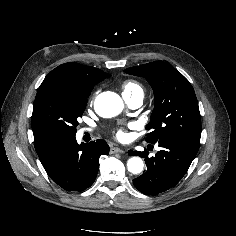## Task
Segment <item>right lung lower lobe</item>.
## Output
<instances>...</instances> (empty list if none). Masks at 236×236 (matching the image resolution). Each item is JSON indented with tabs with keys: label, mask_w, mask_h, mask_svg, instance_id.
Segmentation results:
<instances>
[{
	"label": "right lung lower lobe",
	"mask_w": 236,
	"mask_h": 236,
	"mask_svg": "<svg viewBox=\"0 0 236 236\" xmlns=\"http://www.w3.org/2000/svg\"><path fill=\"white\" fill-rule=\"evenodd\" d=\"M35 150L49 177L66 191L90 187L99 169V158L109 153L104 140L78 144L74 136L34 138Z\"/></svg>",
	"instance_id": "obj_1"
}]
</instances>
